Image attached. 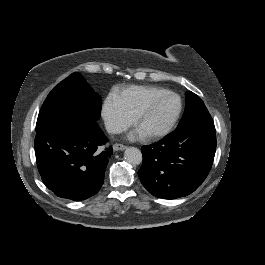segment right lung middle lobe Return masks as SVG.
I'll return each instance as SVG.
<instances>
[{
  "mask_svg": "<svg viewBox=\"0 0 265 265\" xmlns=\"http://www.w3.org/2000/svg\"><path fill=\"white\" fill-rule=\"evenodd\" d=\"M101 105V97L80 73L74 72L48 94L40 109L36 128L59 113L97 121L100 118Z\"/></svg>",
  "mask_w": 265,
  "mask_h": 265,
  "instance_id": "obj_1",
  "label": "right lung middle lobe"
}]
</instances>
